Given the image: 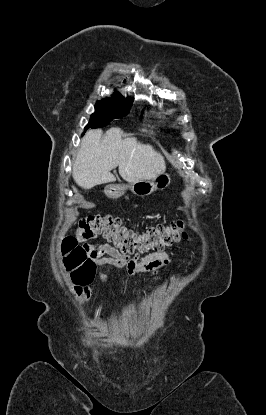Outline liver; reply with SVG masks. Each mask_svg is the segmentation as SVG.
<instances>
[{
  "label": "liver",
  "mask_w": 266,
  "mask_h": 415,
  "mask_svg": "<svg viewBox=\"0 0 266 415\" xmlns=\"http://www.w3.org/2000/svg\"><path fill=\"white\" fill-rule=\"evenodd\" d=\"M122 134L118 127L110 128L105 134L101 129L85 133L72 169L78 186L87 190L114 182L116 178L111 170L116 167L129 183L153 180L165 172V160L159 152L136 138L122 139Z\"/></svg>",
  "instance_id": "liver-1"
}]
</instances>
